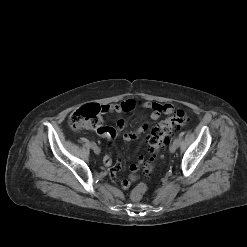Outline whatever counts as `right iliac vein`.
I'll list each match as a JSON object with an SVG mask.
<instances>
[{
	"label": "right iliac vein",
	"instance_id": "obj_1",
	"mask_svg": "<svg viewBox=\"0 0 247 247\" xmlns=\"http://www.w3.org/2000/svg\"><path fill=\"white\" fill-rule=\"evenodd\" d=\"M92 149H93L95 154H99L100 153V148L97 145L93 146Z\"/></svg>",
	"mask_w": 247,
	"mask_h": 247
}]
</instances>
